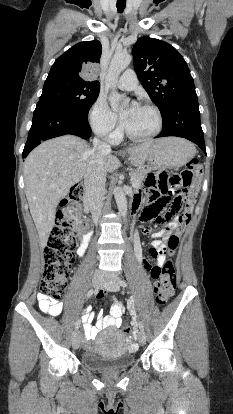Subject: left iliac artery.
<instances>
[{"mask_svg":"<svg viewBox=\"0 0 233 414\" xmlns=\"http://www.w3.org/2000/svg\"><path fill=\"white\" fill-rule=\"evenodd\" d=\"M118 283L122 286V287H126L127 283L124 280L118 279ZM139 328L141 330H144V326L142 324V322H139Z\"/></svg>","mask_w":233,"mask_h":414,"instance_id":"44dca946","label":"left iliac artery"}]
</instances>
